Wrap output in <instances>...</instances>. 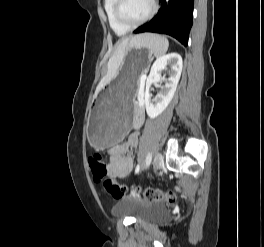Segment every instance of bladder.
<instances>
[{"label":"bladder","instance_id":"31cf9c89","mask_svg":"<svg viewBox=\"0 0 264 247\" xmlns=\"http://www.w3.org/2000/svg\"><path fill=\"white\" fill-rule=\"evenodd\" d=\"M117 216H132L139 221H159L165 217V210L153 202H138L122 199L113 207Z\"/></svg>","mask_w":264,"mask_h":247}]
</instances>
